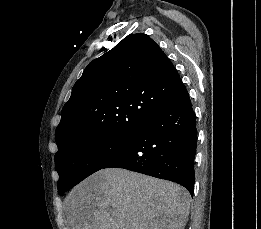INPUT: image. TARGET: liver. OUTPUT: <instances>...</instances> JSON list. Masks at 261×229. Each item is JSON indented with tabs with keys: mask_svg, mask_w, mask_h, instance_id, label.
Here are the masks:
<instances>
[{
	"mask_svg": "<svg viewBox=\"0 0 261 229\" xmlns=\"http://www.w3.org/2000/svg\"><path fill=\"white\" fill-rule=\"evenodd\" d=\"M71 229H184L190 193L171 181L101 169L65 201Z\"/></svg>",
	"mask_w": 261,
	"mask_h": 229,
	"instance_id": "1",
	"label": "liver"
}]
</instances>
